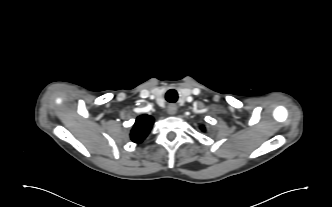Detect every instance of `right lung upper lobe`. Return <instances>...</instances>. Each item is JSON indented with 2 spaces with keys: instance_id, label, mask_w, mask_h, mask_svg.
Masks as SVG:
<instances>
[{
  "instance_id": "obj_1",
  "label": "right lung upper lobe",
  "mask_w": 332,
  "mask_h": 207,
  "mask_svg": "<svg viewBox=\"0 0 332 207\" xmlns=\"http://www.w3.org/2000/svg\"><path fill=\"white\" fill-rule=\"evenodd\" d=\"M153 122V117L149 115H140L137 117L136 122L131 130V140L135 143H141L147 137Z\"/></svg>"
}]
</instances>
